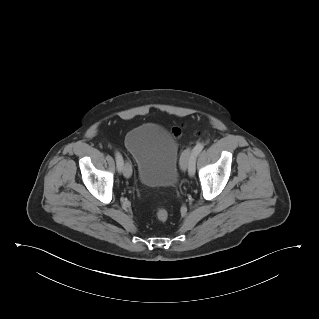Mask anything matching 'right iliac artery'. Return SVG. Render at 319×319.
Returning <instances> with one entry per match:
<instances>
[{"mask_svg": "<svg viewBox=\"0 0 319 319\" xmlns=\"http://www.w3.org/2000/svg\"><path fill=\"white\" fill-rule=\"evenodd\" d=\"M115 159H116L118 172H121L124 165L123 157L119 152H115Z\"/></svg>", "mask_w": 319, "mask_h": 319, "instance_id": "82829eb1", "label": "right iliac artery"}]
</instances>
